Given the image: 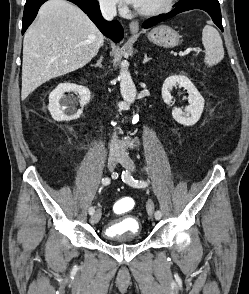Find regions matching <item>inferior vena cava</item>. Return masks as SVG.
<instances>
[{
	"label": "inferior vena cava",
	"instance_id": "602c4592",
	"mask_svg": "<svg viewBox=\"0 0 249 294\" xmlns=\"http://www.w3.org/2000/svg\"><path fill=\"white\" fill-rule=\"evenodd\" d=\"M100 9H101V13L103 17L106 20H109V21L112 20L117 14L116 0H101ZM118 145H119V141L116 135L114 134L111 147H118Z\"/></svg>",
	"mask_w": 249,
	"mask_h": 294
}]
</instances>
